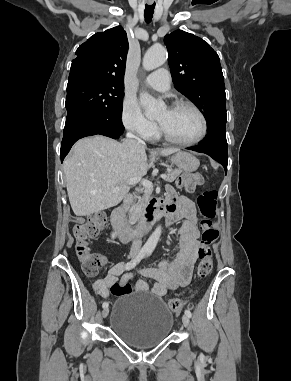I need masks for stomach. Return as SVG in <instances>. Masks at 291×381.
Wrapping results in <instances>:
<instances>
[{"label":"stomach","mask_w":291,"mask_h":381,"mask_svg":"<svg viewBox=\"0 0 291 381\" xmlns=\"http://www.w3.org/2000/svg\"><path fill=\"white\" fill-rule=\"evenodd\" d=\"M171 161L178 169L189 173L196 171L200 165L199 160L194 155L184 151H179L173 155Z\"/></svg>","instance_id":"1"}]
</instances>
